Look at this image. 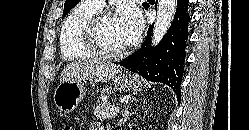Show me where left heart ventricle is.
Returning <instances> with one entry per match:
<instances>
[{"label": "left heart ventricle", "mask_w": 249, "mask_h": 130, "mask_svg": "<svg viewBox=\"0 0 249 130\" xmlns=\"http://www.w3.org/2000/svg\"><path fill=\"white\" fill-rule=\"evenodd\" d=\"M100 39L103 46L110 51H118L126 47L114 16L104 19L100 28Z\"/></svg>", "instance_id": "obj_1"}]
</instances>
